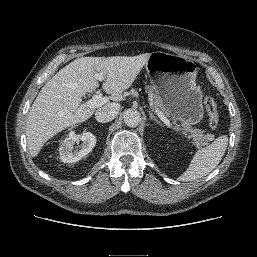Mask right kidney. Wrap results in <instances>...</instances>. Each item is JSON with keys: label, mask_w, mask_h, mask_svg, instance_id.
Wrapping results in <instances>:
<instances>
[{"label": "right kidney", "mask_w": 257, "mask_h": 257, "mask_svg": "<svg viewBox=\"0 0 257 257\" xmlns=\"http://www.w3.org/2000/svg\"><path fill=\"white\" fill-rule=\"evenodd\" d=\"M80 141L81 146H74ZM95 145L96 137L92 133L85 132L76 135L74 131H71L59 147L60 160L64 163L77 162L91 152Z\"/></svg>", "instance_id": "1"}]
</instances>
